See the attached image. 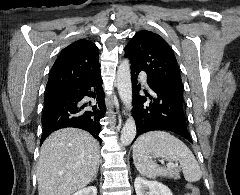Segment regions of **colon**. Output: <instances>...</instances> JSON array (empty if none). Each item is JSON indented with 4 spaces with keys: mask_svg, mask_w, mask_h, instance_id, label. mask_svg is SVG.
<instances>
[{
    "mask_svg": "<svg viewBox=\"0 0 240 195\" xmlns=\"http://www.w3.org/2000/svg\"><path fill=\"white\" fill-rule=\"evenodd\" d=\"M186 192H190V195H198V190H195L191 185H186Z\"/></svg>",
    "mask_w": 240,
    "mask_h": 195,
    "instance_id": "colon-1",
    "label": "colon"
}]
</instances>
